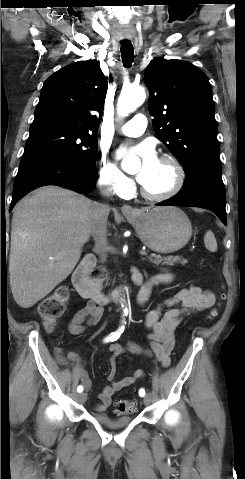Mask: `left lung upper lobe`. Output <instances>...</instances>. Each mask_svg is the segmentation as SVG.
<instances>
[{
  "instance_id": "5c2ea615",
  "label": "left lung upper lobe",
  "mask_w": 245,
  "mask_h": 479,
  "mask_svg": "<svg viewBox=\"0 0 245 479\" xmlns=\"http://www.w3.org/2000/svg\"><path fill=\"white\" fill-rule=\"evenodd\" d=\"M149 112L157 137L187 173L204 161L219 160L211 85L193 64L155 58L146 68Z\"/></svg>"
}]
</instances>
